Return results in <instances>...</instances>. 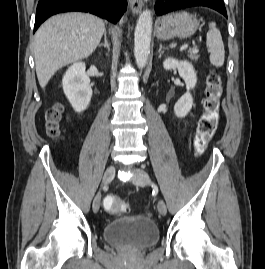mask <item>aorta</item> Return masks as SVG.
Returning <instances> with one entry per match:
<instances>
[{
	"label": "aorta",
	"instance_id": "1",
	"mask_svg": "<svg viewBox=\"0 0 265 269\" xmlns=\"http://www.w3.org/2000/svg\"><path fill=\"white\" fill-rule=\"evenodd\" d=\"M152 24L151 11L146 9L138 18L134 34V54L136 64L140 69L146 66L150 53Z\"/></svg>",
	"mask_w": 265,
	"mask_h": 269
}]
</instances>
